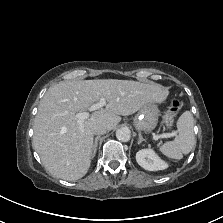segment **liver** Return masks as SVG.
<instances>
[{
    "mask_svg": "<svg viewBox=\"0 0 223 223\" xmlns=\"http://www.w3.org/2000/svg\"><path fill=\"white\" fill-rule=\"evenodd\" d=\"M168 95L169 91L160 85L131 80L60 82L40 101L32 146L52 176L76 181L90 167L94 125L103 124L112 130L121 121L120 116L131 115L151 102L161 103ZM101 97L106 100L105 108L78 124L76 113L88 112Z\"/></svg>",
    "mask_w": 223,
    "mask_h": 223,
    "instance_id": "liver-1",
    "label": "liver"
}]
</instances>
